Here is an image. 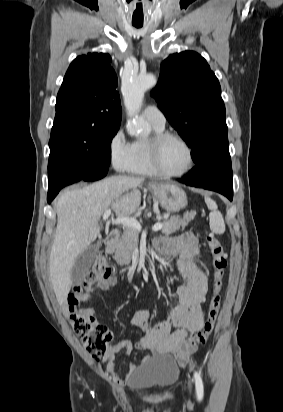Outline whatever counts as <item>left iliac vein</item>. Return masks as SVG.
I'll use <instances>...</instances> for the list:
<instances>
[{
    "label": "left iliac vein",
    "mask_w": 283,
    "mask_h": 412,
    "mask_svg": "<svg viewBox=\"0 0 283 412\" xmlns=\"http://www.w3.org/2000/svg\"><path fill=\"white\" fill-rule=\"evenodd\" d=\"M191 388H192V384H191V382L189 383V390H191Z\"/></svg>",
    "instance_id": "left-iliac-vein-1"
}]
</instances>
